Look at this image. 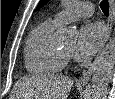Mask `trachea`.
<instances>
[{
  "label": "trachea",
  "mask_w": 115,
  "mask_h": 99,
  "mask_svg": "<svg viewBox=\"0 0 115 99\" xmlns=\"http://www.w3.org/2000/svg\"><path fill=\"white\" fill-rule=\"evenodd\" d=\"M100 7H101L103 13H104L106 16H108V13H109V3H108V1H107V0L101 1Z\"/></svg>",
  "instance_id": "3493384b"
}]
</instances>
